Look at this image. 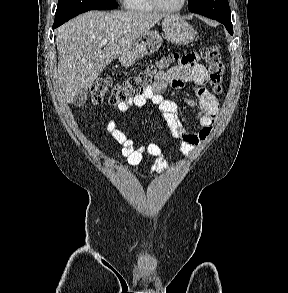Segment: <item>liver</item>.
Wrapping results in <instances>:
<instances>
[{
	"mask_svg": "<svg viewBox=\"0 0 288 293\" xmlns=\"http://www.w3.org/2000/svg\"><path fill=\"white\" fill-rule=\"evenodd\" d=\"M168 15L136 11H89L57 29L58 78L67 103L89 87L114 59ZM109 43L101 49V40Z\"/></svg>",
	"mask_w": 288,
	"mask_h": 293,
	"instance_id": "obj_1",
	"label": "liver"
}]
</instances>
